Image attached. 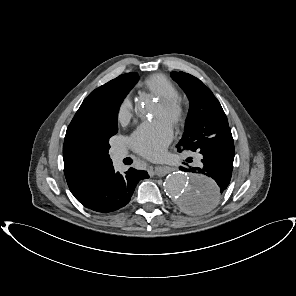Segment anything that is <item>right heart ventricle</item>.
<instances>
[{
  "instance_id": "obj_1",
  "label": "right heart ventricle",
  "mask_w": 296,
  "mask_h": 296,
  "mask_svg": "<svg viewBox=\"0 0 296 296\" xmlns=\"http://www.w3.org/2000/svg\"><path fill=\"white\" fill-rule=\"evenodd\" d=\"M144 85L150 93L161 99L179 97V90L176 85L164 75H152L145 80Z\"/></svg>"
}]
</instances>
